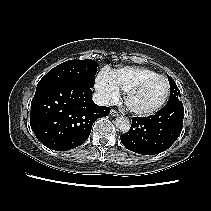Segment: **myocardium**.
<instances>
[{"mask_svg": "<svg viewBox=\"0 0 211 211\" xmlns=\"http://www.w3.org/2000/svg\"><path fill=\"white\" fill-rule=\"evenodd\" d=\"M155 79H162L166 83V92H165L163 98L156 105H154L150 108H147V109H139V108L134 107L131 103L132 96L135 93H137L139 90H141L145 85H147L148 83H150L151 81H153ZM169 94H170V83H169L168 79L165 76L158 74V75L150 76V77H147V78L141 80L136 85L131 87L128 91H126L125 96H124V103L130 112H132L136 115H139V116H148V115L156 113L164 106L165 102L167 101V99L169 97Z\"/></svg>", "mask_w": 211, "mask_h": 211, "instance_id": "f54148a6", "label": "myocardium"}]
</instances>
